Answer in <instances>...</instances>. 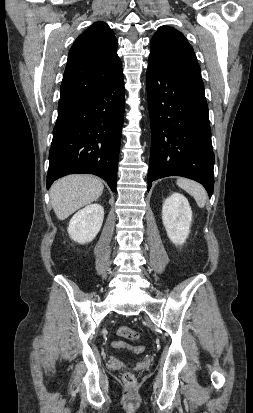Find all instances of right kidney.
<instances>
[{"label": "right kidney", "instance_id": "ca27d5eb", "mask_svg": "<svg viewBox=\"0 0 253 413\" xmlns=\"http://www.w3.org/2000/svg\"><path fill=\"white\" fill-rule=\"evenodd\" d=\"M104 209L100 204H90L79 210L70 220L67 231L79 244L91 242L101 229Z\"/></svg>", "mask_w": 253, "mask_h": 413}]
</instances>
